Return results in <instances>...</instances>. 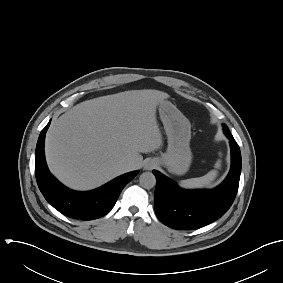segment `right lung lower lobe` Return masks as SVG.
I'll return each instance as SVG.
<instances>
[{
	"label": "right lung lower lobe",
	"mask_w": 283,
	"mask_h": 283,
	"mask_svg": "<svg viewBox=\"0 0 283 283\" xmlns=\"http://www.w3.org/2000/svg\"><path fill=\"white\" fill-rule=\"evenodd\" d=\"M50 122L40 133L35 153V175L45 199L62 214L81 220H93L106 215L117 198L139 171L121 175L107 184L88 192H77L62 185L48 170L45 161V134Z\"/></svg>",
	"instance_id": "98d812e1"
}]
</instances>
